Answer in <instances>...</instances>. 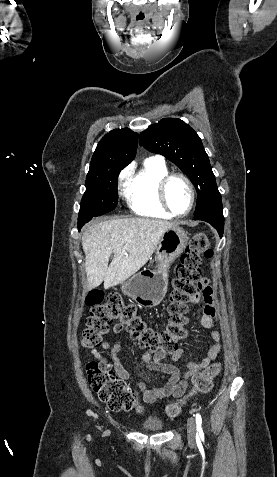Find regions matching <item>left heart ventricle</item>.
<instances>
[{"label":"left heart ventricle","instance_id":"obj_1","mask_svg":"<svg viewBox=\"0 0 277 477\" xmlns=\"http://www.w3.org/2000/svg\"><path fill=\"white\" fill-rule=\"evenodd\" d=\"M167 198L175 212H185L190 204V192L187 184L180 178L172 179L167 188Z\"/></svg>","mask_w":277,"mask_h":477}]
</instances>
